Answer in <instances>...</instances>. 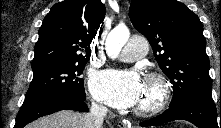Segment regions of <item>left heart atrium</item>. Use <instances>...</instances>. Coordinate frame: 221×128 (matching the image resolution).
<instances>
[{"label": "left heart atrium", "instance_id": "39dd6f15", "mask_svg": "<svg viewBox=\"0 0 221 128\" xmlns=\"http://www.w3.org/2000/svg\"><path fill=\"white\" fill-rule=\"evenodd\" d=\"M91 86L99 100L118 108L137 105L144 87L135 69L100 72L93 77Z\"/></svg>", "mask_w": 221, "mask_h": 128}]
</instances>
